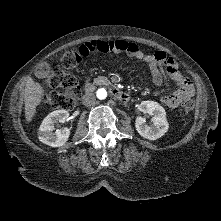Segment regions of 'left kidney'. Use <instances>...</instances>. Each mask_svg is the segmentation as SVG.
Here are the masks:
<instances>
[{"label": "left kidney", "mask_w": 221, "mask_h": 221, "mask_svg": "<svg viewBox=\"0 0 221 221\" xmlns=\"http://www.w3.org/2000/svg\"><path fill=\"white\" fill-rule=\"evenodd\" d=\"M138 110L152 116L151 125L146 124V120L143 117L136 118V130L143 138L156 140L167 132L169 124L166 119V112L159 103L154 101H142L138 105Z\"/></svg>", "instance_id": "obj_1"}]
</instances>
